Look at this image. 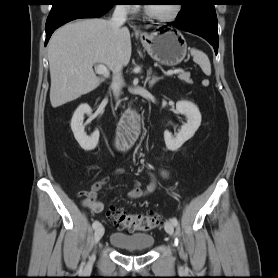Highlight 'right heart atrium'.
I'll use <instances>...</instances> for the list:
<instances>
[{"mask_svg": "<svg viewBox=\"0 0 278 278\" xmlns=\"http://www.w3.org/2000/svg\"><path fill=\"white\" fill-rule=\"evenodd\" d=\"M124 9L127 10V11H135L137 9L136 6L134 5H130V4H126V5H123Z\"/></svg>", "mask_w": 278, "mask_h": 278, "instance_id": "obj_1", "label": "right heart atrium"}]
</instances>
